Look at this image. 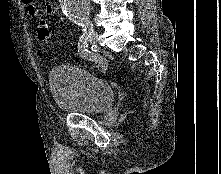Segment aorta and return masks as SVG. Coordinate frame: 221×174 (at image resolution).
Segmentation results:
<instances>
[{
    "mask_svg": "<svg viewBox=\"0 0 221 174\" xmlns=\"http://www.w3.org/2000/svg\"><path fill=\"white\" fill-rule=\"evenodd\" d=\"M63 13L79 22L86 21L89 16L90 0H60Z\"/></svg>",
    "mask_w": 221,
    "mask_h": 174,
    "instance_id": "1",
    "label": "aorta"
}]
</instances>
